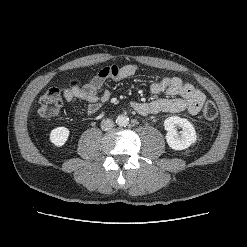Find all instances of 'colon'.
I'll use <instances>...</instances> for the list:
<instances>
[{"instance_id": "colon-1", "label": "colon", "mask_w": 247, "mask_h": 247, "mask_svg": "<svg viewBox=\"0 0 247 247\" xmlns=\"http://www.w3.org/2000/svg\"><path fill=\"white\" fill-rule=\"evenodd\" d=\"M61 105V91L58 88H51L40 98L37 110L38 116L44 120L50 119L59 113ZM202 114L206 120H214L218 115L215 103L207 101Z\"/></svg>"}]
</instances>
